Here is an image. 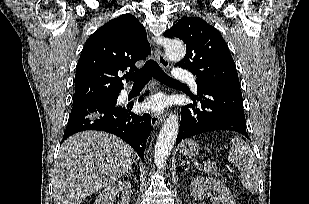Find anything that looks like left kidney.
<instances>
[{"label": "left kidney", "instance_id": "5707ae66", "mask_svg": "<svg viewBox=\"0 0 309 204\" xmlns=\"http://www.w3.org/2000/svg\"><path fill=\"white\" fill-rule=\"evenodd\" d=\"M190 189L195 200H202L206 194L214 192L213 198L216 204H236L228 187L213 177H194Z\"/></svg>", "mask_w": 309, "mask_h": 204}]
</instances>
